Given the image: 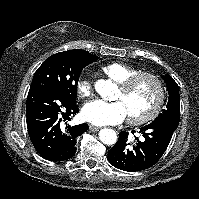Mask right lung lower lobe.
Returning <instances> with one entry per match:
<instances>
[{"instance_id": "98d812e1", "label": "right lung lower lobe", "mask_w": 199, "mask_h": 199, "mask_svg": "<svg viewBox=\"0 0 199 199\" xmlns=\"http://www.w3.org/2000/svg\"><path fill=\"white\" fill-rule=\"evenodd\" d=\"M78 112L76 102L54 88L45 86L29 90L27 129L34 148L42 157L50 161H64L75 155L77 137L89 128L86 123L67 124L66 120Z\"/></svg>"}]
</instances>
